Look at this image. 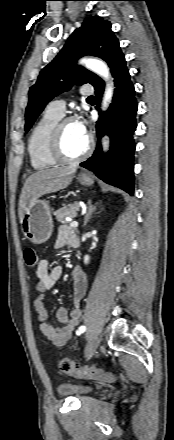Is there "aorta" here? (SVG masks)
I'll return each mask as SVG.
<instances>
[{"label":"aorta","mask_w":174,"mask_h":440,"mask_svg":"<svg viewBox=\"0 0 174 440\" xmlns=\"http://www.w3.org/2000/svg\"><path fill=\"white\" fill-rule=\"evenodd\" d=\"M80 64L84 65L87 69L91 70L92 72L96 73L100 77H102L106 82V89L103 97L102 102V109L106 110L108 108V105L111 103L112 97H113V85L110 82V73L109 69L105 62L94 59V58H82L80 60ZM108 147V138L105 136L103 138V148L106 151Z\"/></svg>","instance_id":"1"}]
</instances>
